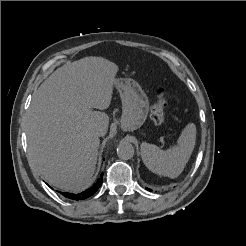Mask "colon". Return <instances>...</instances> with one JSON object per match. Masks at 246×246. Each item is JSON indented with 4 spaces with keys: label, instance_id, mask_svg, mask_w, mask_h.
Returning a JSON list of instances; mask_svg holds the SVG:
<instances>
[{
    "label": "colon",
    "instance_id": "5ec220e1",
    "mask_svg": "<svg viewBox=\"0 0 246 246\" xmlns=\"http://www.w3.org/2000/svg\"><path fill=\"white\" fill-rule=\"evenodd\" d=\"M168 106V92L165 88L157 90V101L151 109V119L156 125H161L165 122V110Z\"/></svg>",
    "mask_w": 246,
    "mask_h": 246
}]
</instances>
